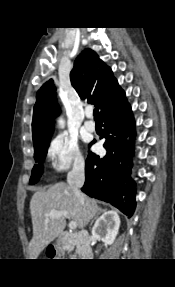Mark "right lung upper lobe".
<instances>
[{
    "label": "right lung upper lobe",
    "mask_w": 175,
    "mask_h": 287,
    "mask_svg": "<svg viewBox=\"0 0 175 287\" xmlns=\"http://www.w3.org/2000/svg\"><path fill=\"white\" fill-rule=\"evenodd\" d=\"M72 86L82 100L94 103L100 117L126 100L111 69L90 50H84L75 60L70 73ZM60 113L56 89L50 79L38 90L33 111V142L51 137L53 119Z\"/></svg>",
    "instance_id": "obj_1"
}]
</instances>
